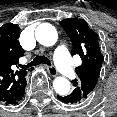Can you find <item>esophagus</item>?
I'll return each instance as SVG.
<instances>
[{"instance_id":"1","label":"esophagus","mask_w":117,"mask_h":117,"mask_svg":"<svg viewBox=\"0 0 117 117\" xmlns=\"http://www.w3.org/2000/svg\"><path fill=\"white\" fill-rule=\"evenodd\" d=\"M45 67H46L48 73H49L51 76H53V77L57 76L58 73H57V70H56L55 67H53V66H48V65H46Z\"/></svg>"}]
</instances>
